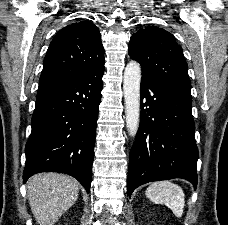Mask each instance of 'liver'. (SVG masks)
<instances>
[{
	"mask_svg": "<svg viewBox=\"0 0 228 225\" xmlns=\"http://www.w3.org/2000/svg\"><path fill=\"white\" fill-rule=\"evenodd\" d=\"M30 209L38 225H55L79 195V183L68 175L41 173L27 185Z\"/></svg>",
	"mask_w": 228,
	"mask_h": 225,
	"instance_id": "6515ba94",
	"label": "liver"
}]
</instances>
